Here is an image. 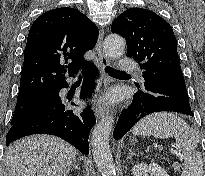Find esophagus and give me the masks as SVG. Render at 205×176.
I'll list each match as a JSON object with an SVG mask.
<instances>
[{"label": "esophagus", "instance_id": "1", "mask_svg": "<svg viewBox=\"0 0 205 176\" xmlns=\"http://www.w3.org/2000/svg\"><path fill=\"white\" fill-rule=\"evenodd\" d=\"M103 37H104V31L101 30L97 44H96V53H97V66L103 76V86L106 88L110 83V79L105 74V68L110 64V62H109V59L105 56L104 50L102 48ZM108 114H109L108 109L103 107L102 104L98 103L96 110H95L96 118L101 119Z\"/></svg>", "mask_w": 205, "mask_h": 176}]
</instances>
